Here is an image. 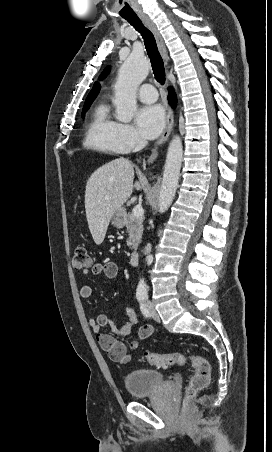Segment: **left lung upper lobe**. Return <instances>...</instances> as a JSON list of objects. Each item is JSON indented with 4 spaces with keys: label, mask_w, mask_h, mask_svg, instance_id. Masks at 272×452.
I'll list each match as a JSON object with an SVG mask.
<instances>
[{
    "label": "left lung upper lobe",
    "mask_w": 272,
    "mask_h": 452,
    "mask_svg": "<svg viewBox=\"0 0 272 452\" xmlns=\"http://www.w3.org/2000/svg\"><path fill=\"white\" fill-rule=\"evenodd\" d=\"M109 71H110V67L109 66H107L105 69H104V71L101 73V75H100V79L102 80V79H104L106 76H107V74L109 73Z\"/></svg>",
    "instance_id": "5c2ea615"
}]
</instances>
